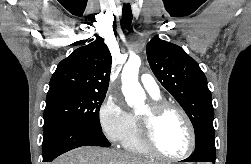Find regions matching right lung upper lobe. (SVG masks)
Masks as SVG:
<instances>
[{
    "instance_id": "1",
    "label": "right lung upper lobe",
    "mask_w": 251,
    "mask_h": 164,
    "mask_svg": "<svg viewBox=\"0 0 251 164\" xmlns=\"http://www.w3.org/2000/svg\"><path fill=\"white\" fill-rule=\"evenodd\" d=\"M110 70V51L103 40L97 38L58 64L50 80L49 92L74 90L106 94Z\"/></svg>"
}]
</instances>
